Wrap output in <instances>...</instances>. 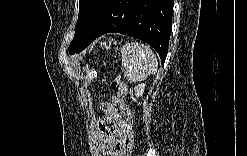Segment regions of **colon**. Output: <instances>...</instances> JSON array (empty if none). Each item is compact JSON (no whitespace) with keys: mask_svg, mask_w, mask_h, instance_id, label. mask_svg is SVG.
Listing matches in <instances>:
<instances>
[{"mask_svg":"<svg viewBox=\"0 0 247 156\" xmlns=\"http://www.w3.org/2000/svg\"><path fill=\"white\" fill-rule=\"evenodd\" d=\"M111 88L116 92L114 97L117 102L118 109L124 118V122L132 130V115L130 110L126 107L124 103L126 88L120 77L116 76L112 79Z\"/></svg>","mask_w":247,"mask_h":156,"instance_id":"colon-1","label":"colon"}]
</instances>
